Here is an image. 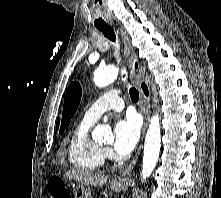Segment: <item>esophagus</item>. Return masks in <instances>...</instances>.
I'll list each match as a JSON object with an SVG mask.
<instances>
[{"label":"esophagus","mask_w":221,"mask_h":198,"mask_svg":"<svg viewBox=\"0 0 221 198\" xmlns=\"http://www.w3.org/2000/svg\"><path fill=\"white\" fill-rule=\"evenodd\" d=\"M118 32L120 33V36L122 38V42H123V46H124V58H125V62H126L128 69H129V76H130L131 82L133 83V85H135V87L140 92V109H141V113L143 114V117H144V125H143L141 144L138 148V151H137L136 155L133 157V159L131 160V162L127 165V167L125 169H123L117 176H115L113 178V182H115V183L125 181L126 177L134 169V167L138 161L141 149H142L143 137H144V134H145L146 129L148 127L150 114H151L150 103L145 99V97L143 95V91L140 87L141 81L135 71V62H136L135 52L133 51V49L131 47L130 40H129L128 36L126 35V33L123 31V29L118 28Z\"/></svg>","instance_id":"obj_1"}]
</instances>
